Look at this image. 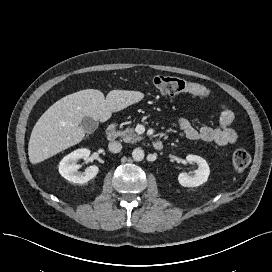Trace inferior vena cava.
I'll use <instances>...</instances> for the list:
<instances>
[{
  "label": "inferior vena cava",
  "instance_id": "602c4592",
  "mask_svg": "<svg viewBox=\"0 0 272 272\" xmlns=\"http://www.w3.org/2000/svg\"><path fill=\"white\" fill-rule=\"evenodd\" d=\"M108 149L112 153H119L122 150V144L118 141L109 142Z\"/></svg>",
  "mask_w": 272,
  "mask_h": 272
}]
</instances>
